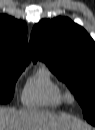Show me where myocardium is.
<instances>
[{"instance_id": "f54148a6", "label": "myocardium", "mask_w": 95, "mask_h": 130, "mask_svg": "<svg viewBox=\"0 0 95 130\" xmlns=\"http://www.w3.org/2000/svg\"><path fill=\"white\" fill-rule=\"evenodd\" d=\"M64 96H65V101L70 103V104H74L77 101V97H76L75 93L72 91H67L64 94Z\"/></svg>"}]
</instances>
